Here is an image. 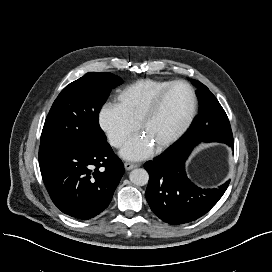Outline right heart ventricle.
Returning a JSON list of instances; mask_svg holds the SVG:
<instances>
[{
  "mask_svg": "<svg viewBox=\"0 0 272 272\" xmlns=\"http://www.w3.org/2000/svg\"><path fill=\"white\" fill-rule=\"evenodd\" d=\"M171 82L159 79H140L120 91L117 104L136 124L153 99Z\"/></svg>",
  "mask_w": 272,
  "mask_h": 272,
  "instance_id": "1",
  "label": "right heart ventricle"
}]
</instances>
